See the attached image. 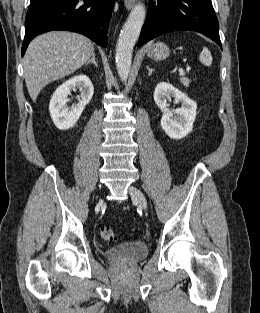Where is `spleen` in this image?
Returning a JSON list of instances; mask_svg holds the SVG:
<instances>
[{
    "instance_id": "obj_1",
    "label": "spleen",
    "mask_w": 260,
    "mask_h": 313,
    "mask_svg": "<svg viewBox=\"0 0 260 313\" xmlns=\"http://www.w3.org/2000/svg\"><path fill=\"white\" fill-rule=\"evenodd\" d=\"M199 60L205 66H210L212 64V55L206 47H203L199 55Z\"/></svg>"
}]
</instances>
